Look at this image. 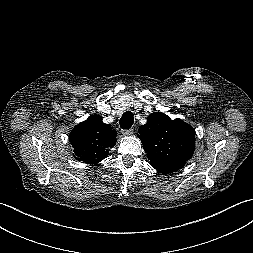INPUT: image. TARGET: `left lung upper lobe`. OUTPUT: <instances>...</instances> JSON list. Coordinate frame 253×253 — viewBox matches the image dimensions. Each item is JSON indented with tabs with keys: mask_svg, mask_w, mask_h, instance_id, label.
<instances>
[{
	"mask_svg": "<svg viewBox=\"0 0 253 253\" xmlns=\"http://www.w3.org/2000/svg\"><path fill=\"white\" fill-rule=\"evenodd\" d=\"M138 132L150 164L159 172L171 173L184 167L194 153L195 130L181 119L154 112Z\"/></svg>",
	"mask_w": 253,
	"mask_h": 253,
	"instance_id": "5c2ea615",
	"label": "left lung upper lobe"
}]
</instances>
